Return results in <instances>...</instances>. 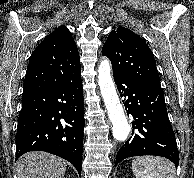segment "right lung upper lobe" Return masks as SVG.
Masks as SVG:
<instances>
[{
	"mask_svg": "<svg viewBox=\"0 0 194 178\" xmlns=\"http://www.w3.org/2000/svg\"><path fill=\"white\" fill-rule=\"evenodd\" d=\"M80 58L70 31L60 26L31 54L23 94L70 83L80 78Z\"/></svg>",
	"mask_w": 194,
	"mask_h": 178,
	"instance_id": "obj_1",
	"label": "right lung upper lobe"
}]
</instances>
